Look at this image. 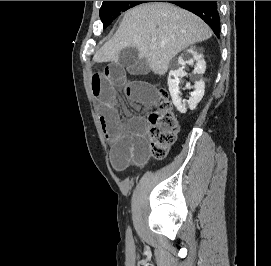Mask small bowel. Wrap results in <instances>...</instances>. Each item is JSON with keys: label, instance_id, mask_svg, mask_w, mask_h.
Listing matches in <instances>:
<instances>
[{"label": "small bowel", "instance_id": "c3829d8e", "mask_svg": "<svg viewBox=\"0 0 271 266\" xmlns=\"http://www.w3.org/2000/svg\"><path fill=\"white\" fill-rule=\"evenodd\" d=\"M148 65L141 59L113 61L91 77V90L97 101V113L105 136L112 144L111 163L116 170L129 165H144L149 158L146 140L147 123L142 117H131L123 123L118 91L136 104H153L158 100L154 87L143 81H132L128 75H143Z\"/></svg>", "mask_w": 271, "mask_h": 266}]
</instances>
